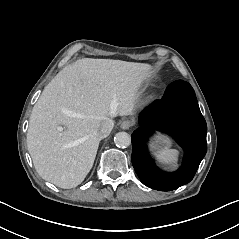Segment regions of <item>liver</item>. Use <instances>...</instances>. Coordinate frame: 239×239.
I'll return each mask as SVG.
<instances>
[{"label":"liver","mask_w":239,"mask_h":239,"mask_svg":"<svg viewBox=\"0 0 239 239\" xmlns=\"http://www.w3.org/2000/svg\"><path fill=\"white\" fill-rule=\"evenodd\" d=\"M148 65L82 59L65 67L33 107L28 152L42 179L63 189L80 185L93 167L97 130L120 113L129 115ZM86 138L81 144L70 143Z\"/></svg>","instance_id":"6515ba94"}]
</instances>
